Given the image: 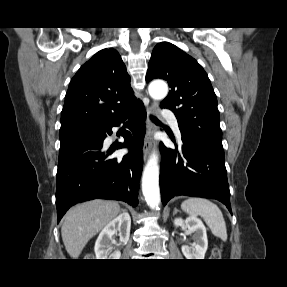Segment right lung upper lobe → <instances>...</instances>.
I'll list each match as a JSON object with an SVG mask.
<instances>
[{"label":"right lung upper lobe","instance_id":"1","mask_svg":"<svg viewBox=\"0 0 287 287\" xmlns=\"http://www.w3.org/2000/svg\"><path fill=\"white\" fill-rule=\"evenodd\" d=\"M140 103L121 56L106 48L81 66L72 78L61 112V126L74 123L98 126Z\"/></svg>","mask_w":287,"mask_h":287}]
</instances>
